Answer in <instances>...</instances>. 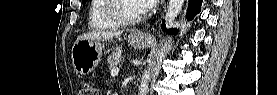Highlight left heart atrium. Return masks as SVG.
Returning <instances> with one entry per match:
<instances>
[{"mask_svg":"<svg viewBox=\"0 0 277 95\" xmlns=\"http://www.w3.org/2000/svg\"><path fill=\"white\" fill-rule=\"evenodd\" d=\"M139 1L146 9L152 8L154 5H156L159 2V0H139Z\"/></svg>","mask_w":277,"mask_h":95,"instance_id":"1","label":"left heart atrium"}]
</instances>
